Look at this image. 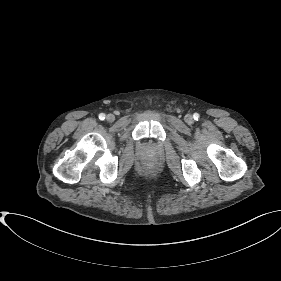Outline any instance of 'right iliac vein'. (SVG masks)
<instances>
[{"instance_id":"right-iliac-vein-1","label":"right iliac vein","mask_w":281,"mask_h":281,"mask_svg":"<svg viewBox=\"0 0 281 281\" xmlns=\"http://www.w3.org/2000/svg\"><path fill=\"white\" fill-rule=\"evenodd\" d=\"M106 120H107L108 122H113V121L115 120V116H114L113 114H108V115L106 116Z\"/></svg>"}]
</instances>
